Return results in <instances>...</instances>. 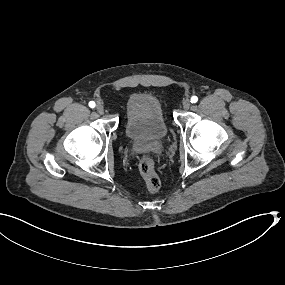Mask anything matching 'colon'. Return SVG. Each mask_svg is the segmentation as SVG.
Returning a JSON list of instances; mask_svg holds the SVG:
<instances>
[{
    "label": "colon",
    "mask_w": 285,
    "mask_h": 285,
    "mask_svg": "<svg viewBox=\"0 0 285 285\" xmlns=\"http://www.w3.org/2000/svg\"><path fill=\"white\" fill-rule=\"evenodd\" d=\"M139 170L143 176L147 189L151 193H155L160 188V179L155 170V163L150 157L143 158L139 163Z\"/></svg>",
    "instance_id": "colon-1"
}]
</instances>
